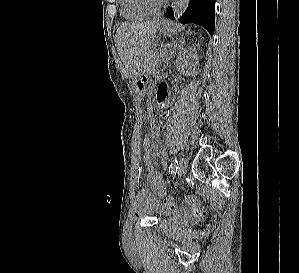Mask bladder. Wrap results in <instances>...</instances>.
<instances>
[{
    "label": "bladder",
    "mask_w": 299,
    "mask_h": 273,
    "mask_svg": "<svg viewBox=\"0 0 299 273\" xmlns=\"http://www.w3.org/2000/svg\"><path fill=\"white\" fill-rule=\"evenodd\" d=\"M142 210H146V213L153 215L154 217L157 218L159 222L165 223L167 225L172 226L180 221V219L177 217L164 215L163 213H161L159 210L155 208L153 203H150L147 208H144Z\"/></svg>",
    "instance_id": "obj_1"
}]
</instances>
